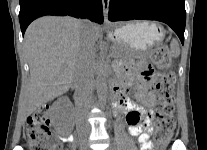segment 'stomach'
<instances>
[{
	"instance_id": "stomach-1",
	"label": "stomach",
	"mask_w": 207,
	"mask_h": 150,
	"mask_svg": "<svg viewBox=\"0 0 207 150\" xmlns=\"http://www.w3.org/2000/svg\"><path fill=\"white\" fill-rule=\"evenodd\" d=\"M109 38L121 52L116 56L128 61L148 52L164 38V28L158 22L136 21L117 24L108 30Z\"/></svg>"
}]
</instances>
